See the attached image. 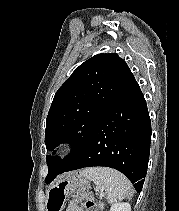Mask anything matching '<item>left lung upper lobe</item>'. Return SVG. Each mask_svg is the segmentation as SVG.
<instances>
[{
	"instance_id": "obj_1",
	"label": "left lung upper lobe",
	"mask_w": 179,
	"mask_h": 211,
	"mask_svg": "<svg viewBox=\"0 0 179 211\" xmlns=\"http://www.w3.org/2000/svg\"><path fill=\"white\" fill-rule=\"evenodd\" d=\"M130 75L117 54H98L82 63L58 89L46 120L45 144L51 151L64 142L73 148L64 159L47 156L46 181L63 173L81 154L99 118Z\"/></svg>"
}]
</instances>
